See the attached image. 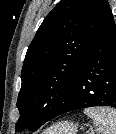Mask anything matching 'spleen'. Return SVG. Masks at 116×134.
I'll return each mask as SVG.
<instances>
[{
  "instance_id": "1",
  "label": "spleen",
  "mask_w": 116,
  "mask_h": 134,
  "mask_svg": "<svg viewBox=\"0 0 116 134\" xmlns=\"http://www.w3.org/2000/svg\"><path fill=\"white\" fill-rule=\"evenodd\" d=\"M84 113L93 120L97 134H116V109L87 108Z\"/></svg>"
}]
</instances>
